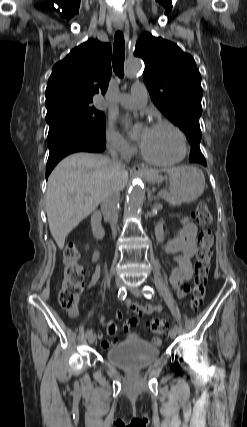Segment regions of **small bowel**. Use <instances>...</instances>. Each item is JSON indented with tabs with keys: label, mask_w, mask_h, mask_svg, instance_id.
<instances>
[{
	"label": "small bowel",
	"mask_w": 247,
	"mask_h": 427,
	"mask_svg": "<svg viewBox=\"0 0 247 427\" xmlns=\"http://www.w3.org/2000/svg\"><path fill=\"white\" fill-rule=\"evenodd\" d=\"M155 235L157 240L160 242L162 250L168 254H176L175 261L177 266L171 270L169 276L170 285L177 290L179 298H184L188 292L189 287L186 285L192 276V264L191 258L197 250V226L188 218L181 219V228L177 235L170 240L166 239L164 227L159 222L155 228ZM93 262H98L99 253L94 252L92 256ZM100 278V267L97 266L93 274L91 275L88 288L96 285ZM126 306L132 312L142 316L157 313L161 311V306L155 304L141 305L134 301L128 300ZM123 314L121 311L115 313L117 320L122 319ZM139 323L137 317H131L124 323V331L127 333L128 339H136L138 336L130 332V328L136 326ZM107 333L114 335L117 327L113 322L105 323ZM116 339L111 341H103L104 347L113 346L116 344ZM153 343L160 345L161 341L159 338H154Z\"/></svg>",
	"instance_id": "obj_1"
}]
</instances>
